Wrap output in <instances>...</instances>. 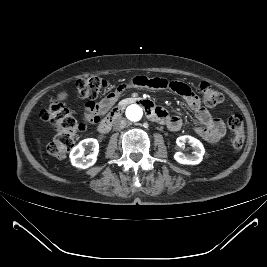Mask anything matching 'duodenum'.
Here are the masks:
<instances>
[{"mask_svg": "<svg viewBox=\"0 0 267 267\" xmlns=\"http://www.w3.org/2000/svg\"><path fill=\"white\" fill-rule=\"evenodd\" d=\"M134 103L143 105L145 107L148 115L152 119L157 120V121L161 120V113L159 112V109L155 108L152 103L147 102V101H141V100H138V99H135V98H131V99H128L125 102L121 103L117 107H115L98 124V126H97L98 132L101 133V134H105V133L109 132L111 127H112V125H113V123L115 122V120H117L121 116L125 106L128 105V104H134Z\"/></svg>", "mask_w": 267, "mask_h": 267, "instance_id": "410a0bca", "label": "duodenum"}]
</instances>
